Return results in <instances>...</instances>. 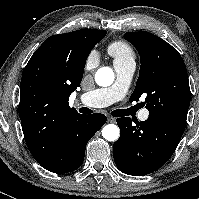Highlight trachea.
I'll use <instances>...</instances> for the list:
<instances>
[{
	"label": "trachea",
	"instance_id": "1",
	"mask_svg": "<svg viewBox=\"0 0 199 199\" xmlns=\"http://www.w3.org/2000/svg\"><path fill=\"white\" fill-rule=\"evenodd\" d=\"M79 112L80 113H84V114H90L92 113L93 111L87 107H81L79 108ZM112 116L114 117H120V116H126V110L125 109H117L115 111H112L111 112Z\"/></svg>",
	"mask_w": 199,
	"mask_h": 199
}]
</instances>
